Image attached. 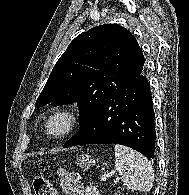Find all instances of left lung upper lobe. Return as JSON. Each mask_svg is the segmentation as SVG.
<instances>
[{"mask_svg": "<svg viewBox=\"0 0 189 195\" xmlns=\"http://www.w3.org/2000/svg\"><path fill=\"white\" fill-rule=\"evenodd\" d=\"M144 56L124 27L105 24L81 33L54 66L35 106L77 102L82 125L116 89L142 74Z\"/></svg>", "mask_w": 189, "mask_h": 195, "instance_id": "1", "label": "left lung upper lobe"}]
</instances>
